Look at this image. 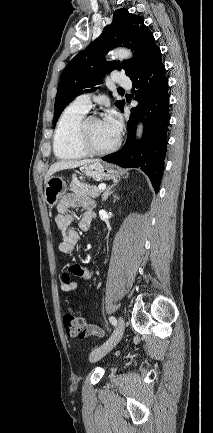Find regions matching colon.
<instances>
[{"mask_svg": "<svg viewBox=\"0 0 213 433\" xmlns=\"http://www.w3.org/2000/svg\"><path fill=\"white\" fill-rule=\"evenodd\" d=\"M64 282L70 281V274L67 272L63 275ZM63 325L65 331L70 337L84 338L89 336L84 318L76 311H70L63 316Z\"/></svg>", "mask_w": 213, "mask_h": 433, "instance_id": "obj_1", "label": "colon"}]
</instances>
